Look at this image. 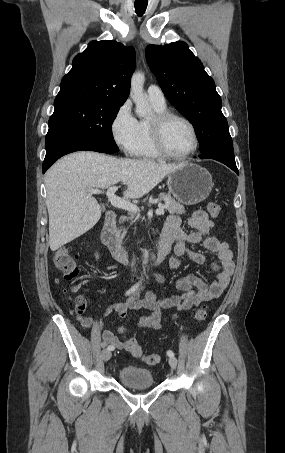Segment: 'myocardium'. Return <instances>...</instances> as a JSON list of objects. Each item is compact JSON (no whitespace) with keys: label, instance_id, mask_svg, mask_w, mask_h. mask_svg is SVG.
Here are the masks:
<instances>
[{"label":"myocardium","instance_id":"f54148a6","mask_svg":"<svg viewBox=\"0 0 285 453\" xmlns=\"http://www.w3.org/2000/svg\"><path fill=\"white\" fill-rule=\"evenodd\" d=\"M173 119L183 121L192 131L194 144L193 147L186 153L175 154L171 152L166 146L164 137L165 127ZM149 126L153 145L161 156L176 160L186 159L192 156L199 147V135L195 125L187 117L181 114L170 111L156 113L152 117V119L149 120Z\"/></svg>","mask_w":285,"mask_h":453}]
</instances>
